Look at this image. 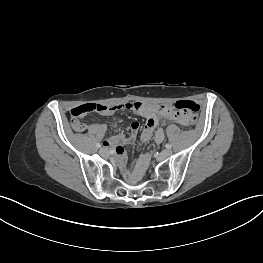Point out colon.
Returning <instances> with one entry per match:
<instances>
[{"label": "colon", "instance_id": "obj_1", "mask_svg": "<svg viewBox=\"0 0 263 263\" xmlns=\"http://www.w3.org/2000/svg\"><path fill=\"white\" fill-rule=\"evenodd\" d=\"M174 108L180 112L187 113L190 117V122H195L198 118L200 106L192 100H179L174 104ZM105 108L100 104L88 103L71 110V119L73 127L76 131H83L84 124L80 120L89 113L101 112Z\"/></svg>", "mask_w": 263, "mask_h": 263}]
</instances>
